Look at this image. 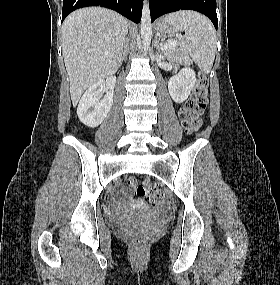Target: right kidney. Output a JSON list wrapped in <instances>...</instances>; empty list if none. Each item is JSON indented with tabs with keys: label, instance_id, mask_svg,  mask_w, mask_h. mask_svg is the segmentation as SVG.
Segmentation results:
<instances>
[{
	"label": "right kidney",
	"instance_id": "1",
	"mask_svg": "<svg viewBox=\"0 0 280 285\" xmlns=\"http://www.w3.org/2000/svg\"><path fill=\"white\" fill-rule=\"evenodd\" d=\"M115 85L116 77L110 76L88 88L77 108L78 117L83 124L95 128L103 122L112 107ZM105 91L104 98L100 100L102 93Z\"/></svg>",
	"mask_w": 280,
	"mask_h": 285
}]
</instances>
